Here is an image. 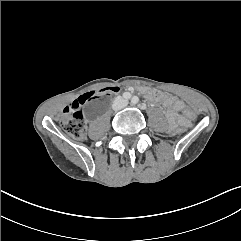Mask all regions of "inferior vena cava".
Instances as JSON below:
<instances>
[{"label": "inferior vena cava", "mask_w": 241, "mask_h": 241, "mask_svg": "<svg viewBox=\"0 0 241 241\" xmlns=\"http://www.w3.org/2000/svg\"><path fill=\"white\" fill-rule=\"evenodd\" d=\"M128 105V100L121 96H117L113 102L112 108L115 111L121 110Z\"/></svg>", "instance_id": "1"}]
</instances>
